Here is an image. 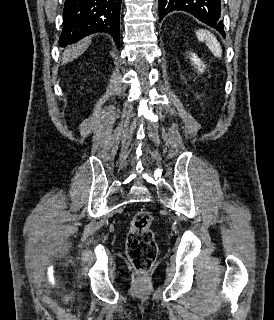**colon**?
<instances>
[{
	"label": "colon",
	"mask_w": 274,
	"mask_h": 320,
	"mask_svg": "<svg viewBox=\"0 0 274 320\" xmlns=\"http://www.w3.org/2000/svg\"><path fill=\"white\" fill-rule=\"evenodd\" d=\"M151 225L150 212L141 210L131 219L126 235L128 258L139 273L149 272L156 258L157 243Z\"/></svg>",
	"instance_id": "1"
}]
</instances>
